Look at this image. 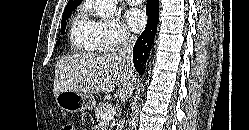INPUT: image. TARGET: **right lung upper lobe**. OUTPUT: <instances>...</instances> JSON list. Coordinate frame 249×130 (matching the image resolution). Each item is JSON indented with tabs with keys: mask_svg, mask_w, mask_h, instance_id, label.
Masks as SVG:
<instances>
[{
	"mask_svg": "<svg viewBox=\"0 0 249 130\" xmlns=\"http://www.w3.org/2000/svg\"><path fill=\"white\" fill-rule=\"evenodd\" d=\"M82 0H69L67 5H70V4H80Z\"/></svg>",
	"mask_w": 249,
	"mask_h": 130,
	"instance_id": "cb5924a9",
	"label": "right lung upper lobe"
}]
</instances>
